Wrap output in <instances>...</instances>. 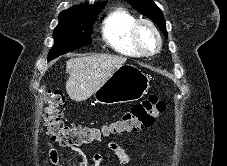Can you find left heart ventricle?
Wrapping results in <instances>:
<instances>
[{
	"label": "left heart ventricle",
	"mask_w": 227,
	"mask_h": 166,
	"mask_svg": "<svg viewBox=\"0 0 227 166\" xmlns=\"http://www.w3.org/2000/svg\"><path fill=\"white\" fill-rule=\"evenodd\" d=\"M139 39L146 49H152L156 44L153 33L145 26L141 27L139 31Z\"/></svg>",
	"instance_id": "left-heart-ventricle-1"
}]
</instances>
